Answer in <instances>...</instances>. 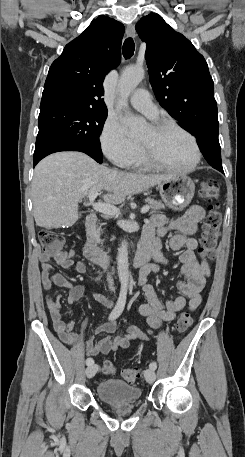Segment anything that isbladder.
<instances>
[{"instance_id":"obj_1","label":"bladder","mask_w":245,"mask_h":457,"mask_svg":"<svg viewBox=\"0 0 245 457\" xmlns=\"http://www.w3.org/2000/svg\"><path fill=\"white\" fill-rule=\"evenodd\" d=\"M96 395L104 403L116 405L137 402L142 396V391L122 380H105L98 384Z\"/></svg>"}]
</instances>
